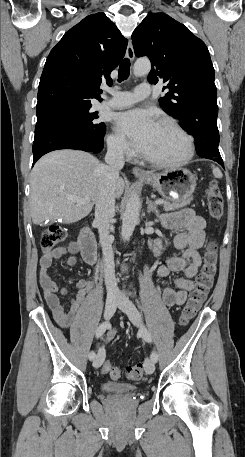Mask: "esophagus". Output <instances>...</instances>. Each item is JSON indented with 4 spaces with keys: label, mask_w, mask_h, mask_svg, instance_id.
Returning <instances> with one entry per match:
<instances>
[{
    "label": "esophagus",
    "mask_w": 245,
    "mask_h": 457,
    "mask_svg": "<svg viewBox=\"0 0 245 457\" xmlns=\"http://www.w3.org/2000/svg\"><path fill=\"white\" fill-rule=\"evenodd\" d=\"M126 56L129 60L133 61L134 60V49L132 46V42L129 41L127 50H126ZM133 174L136 176H142V177H149L150 174L143 170L142 168L139 167H134L132 170Z\"/></svg>",
    "instance_id": "esophagus-1"
}]
</instances>
